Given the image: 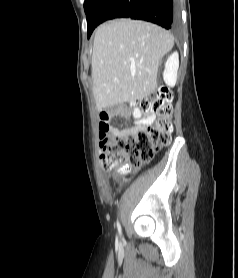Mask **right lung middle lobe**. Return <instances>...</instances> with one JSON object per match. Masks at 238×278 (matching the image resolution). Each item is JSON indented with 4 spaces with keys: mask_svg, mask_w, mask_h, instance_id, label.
Returning <instances> with one entry per match:
<instances>
[{
    "mask_svg": "<svg viewBox=\"0 0 238 278\" xmlns=\"http://www.w3.org/2000/svg\"><path fill=\"white\" fill-rule=\"evenodd\" d=\"M96 0H85L84 2V10L85 13L87 14L88 10L91 8V6L94 4Z\"/></svg>",
    "mask_w": 238,
    "mask_h": 278,
    "instance_id": "right-lung-middle-lobe-1",
    "label": "right lung middle lobe"
}]
</instances>
